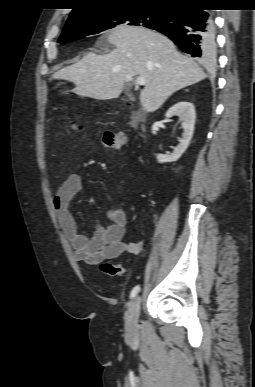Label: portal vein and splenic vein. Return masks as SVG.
Listing matches in <instances>:
<instances>
[{"label":"portal vein and splenic vein","instance_id":"18ae733b","mask_svg":"<svg viewBox=\"0 0 255 387\" xmlns=\"http://www.w3.org/2000/svg\"><path fill=\"white\" fill-rule=\"evenodd\" d=\"M127 80H128V81H131V80H132V77L128 76V77H127ZM136 84H137V85H145V84H146L145 78H144V77H137V79H136Z\"/></svg>","mask_w":255,"mask_h":387}]
</instances>
